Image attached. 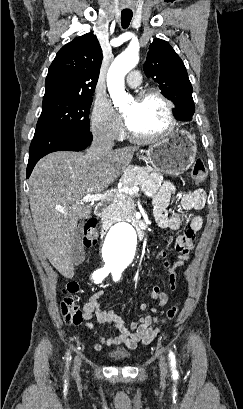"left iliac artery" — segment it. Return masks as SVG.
Here are the masks:
<instances>
[{"instance_id": "44dca946", "label": "left iliac artery", "mask_w": 243, "mask_h": 409, "mask_svg": "<svg viewBox=\"0 0 243 409\" xmlns=\"http://www.w3.org/2000/svg\"><path fill=\"white\" fill-rule=\"evenodd\" d=\"M112 275H113V279L115 281H117V280H119V278L121 276V272L118 271V270H113ZM169 358H170L171 369H172V372H173V378H177L178 377V372L175 369L176 359H175V355H174V353L172 351H170V353H169Z\"/></svg>"}]
</instances>
